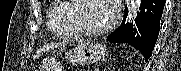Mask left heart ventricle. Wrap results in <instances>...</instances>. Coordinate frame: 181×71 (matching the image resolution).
Returning <instances> with one entry per match:
<instances>
[{"mask_svg":"<svg viewBox=\"0 0 181 71\" xmlns=\"http://www.w3.org/2000/svg\"><path fill=\"white\" fill-rule=\"evenodd\" d=\"M108 1L89 0L81 3L80 17L89 28L98 29L108 23L106 10Z\"/></svg>","mask_w":181,"mask_h":71,"instance_id":"1","label":"left heart ventricle"}]
</instances>
